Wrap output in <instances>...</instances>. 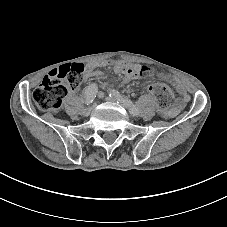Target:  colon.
I'll list each match as a JSON object with an SVG mask.
<instances>
[{
	"label": "colon",
	"instance_id": "obj_1",
	"mask_svg": "<svg viewBox=\"0 0 227 227\" xmlns=\"http://www.w3.org/2000/svg\"><path fill=\"white\" fill-rule=\"evenodd\" d=\"M154 68L142 66L140 76L151 77ZM84 75L81 64H65L50 71L42 82L34 89L32 97L37 107L44 111H54L60 108L62 100L69 91L79 88ZM161 112H166L173 104L174 96L169 87L160 83L149 86Z\"/></svg>",
	"mask_w": 227,
	"mask_h": 227
}]
</instances>
